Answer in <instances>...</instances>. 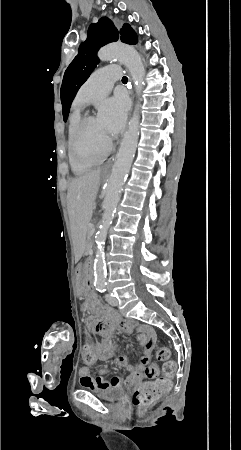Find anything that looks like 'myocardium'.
<instances>
[{"label": "myocardium", "instance_id": "obj_1", "mask_svg": "<svg viewBox=\"0 0 241 450\" xmlns=\"http://www.w3.org/2000/svg\"><path fill=\"white\" fill-rule=\"evenodd\" d=\"M90 117L88 115H83L81 116L74 124L73 126V130H72V136L70 137V142L72 144H70V149L73 150V161L74 162H80V158L83 156L80 152H78V148L77 145H79V141L82 133H83V129H79L80 127L83 126L84 122L87 121Z\"/></svg>", "mask_w": 241, "mask_h": 450}]
</instances>
